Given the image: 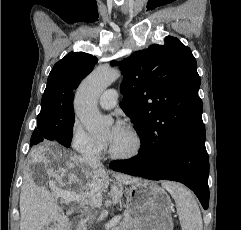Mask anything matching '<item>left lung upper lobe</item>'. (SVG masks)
<instances>
[{"label":"left lung upper lobe","mask_w":241,"mask_h":230,"mask_svg":"<svg viewBox=\"0 0 241 230\" xmlns=\"http://www.w3.org/2000/svg\"><path fill=\"white\" fill-rule=\"evenodd\" d=\"M119 65L124 74L120 107L141 143L205 140L200 77L189 47L167 36L164 45L137 51Z\"/></svg>","instance_id":"1"}]
</instances>
